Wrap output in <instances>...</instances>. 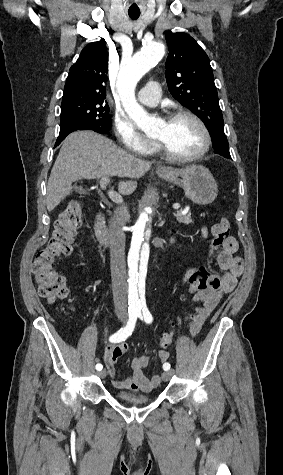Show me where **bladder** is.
I'll use <instances>...</instances> for the list:
<instances>
[{
    "label": "bladder",
    "mask_w": 283,
    "mask_h": 475,
    "mask_svg": "<svg viewBox=\"0 0 283 475\" xmlns=\"http://www.w3.org/2000/svg\"><path fill=\"white\" fill-rule=\"evenodd\" d=\"M113 397L124 404L146 406L153 402L154 395L144 394L138 391L118 390L113 393Z\"/></svg>",
    "instance_id": "obj_1"
}]
</instances>
